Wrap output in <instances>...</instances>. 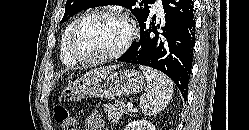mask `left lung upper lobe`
Here are the masks:
<instances>
[{
    "label": "left lung upper lobe",
    "mask_w": 249,
    "mask_h": 130,
    "mask_svg": "<svg viewBox=\"0 0 249 130\" xmlns=\"http://www.w3.org/2000/svg\"><path fill=\"white\" fill-rule=\"evenodd\" d=\"M154 3L155 0H142L140 3L137 0H67L65 14L61 22L67 21L76 13L87 8L103 5H120L129 9L139 24H142L150 16L151 4Z\"/></svg>",
    "instance_id": "5c2ea615"
}]
</instances>
